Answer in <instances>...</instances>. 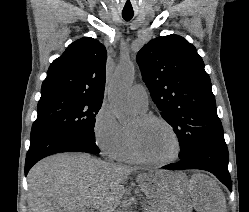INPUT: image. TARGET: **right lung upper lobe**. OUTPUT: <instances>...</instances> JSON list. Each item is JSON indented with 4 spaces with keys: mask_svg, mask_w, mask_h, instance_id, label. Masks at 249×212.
Wrapping results in <instances>:
<instances>
[{
    "mask_svg": "<svg viewBox=\"0 0 249 212\" xmlns=\"http://www.w3.org/2000/svg\"><path fill=\"white\" fill-rule=\"evenodd\" d=\"M106 49L96 39L83 37L70 44L50 65L41 96L79 94L103 99Z\"/></svg>",
    "mask_w": 249,
    "mask_h": 212,
    "instance_id": "1",
    "label": "right lung upper lobe"
}]
</instances>
